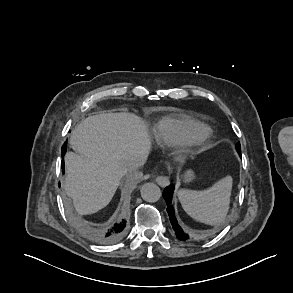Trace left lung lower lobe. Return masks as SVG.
<instances>
[{
  "instance_id": "1",
  "label": "left lung lower lobe",
  "mask_w": 293,
  "mask_h": 293,
  "mask_svg": "<svg viewBox=\"0 0 293 293\" xmlns=\"http://www.w3.org/2000/svg\"><path fill=\"white\" fill-rule=\"evenodd\" d=\"M239 155H241V152H238ZM173 191H174V186L170 185L169 187H167L164 192H163V197L167 203V212L169 215V219L170 222L172 224V227L175 231V234L177 236L178 239L184 241L188 238L187 234H185L181 228V226L178 224L176 217H175V213H174V208L171 205L172 202V195H173Z\"/></svg>"
}]
</instances>
